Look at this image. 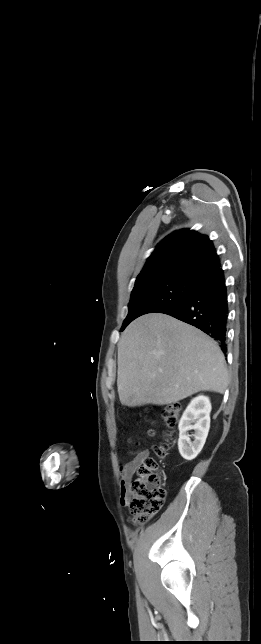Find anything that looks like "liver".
Returning <instances> with one entry per match:
<instances>
[{"label": "liver", "mask_w": 261, "mask_h": 644, "mask_svg": "<svg viewBox=\"0 0 261 644\" xmlns=\"http://www.w3.org/2000/svg\"><path fill=\"white\" fill-rule=\"evenodd\" d=\"M228 381L217 343L171 316L143 315L118 342L117 387L123 405H167L199 391L223 394Z\"/></svg>", "instance_id": "6515ba94"}]
</instances>
